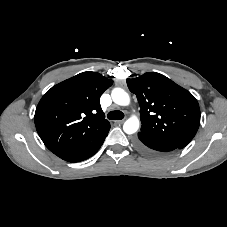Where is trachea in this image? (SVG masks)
Returning <instances> with one entry per match:
<instances>
[{
    "mask_svg": "<svg viewBox=\"0 0 227 227\" xmlns=\"http://www.w3.org/2000/svg\"><path fill=\"white\" fill-rule=\"evenodd\" d=\"M107 117L110 120H121L124 118V113L119 110L110 111Z\"/></svg>",
    "mask_w": 227,
    "mask_h": 227,
    "instance_id": "3493384b",
    "label": "trachea"
}]
</instances>
